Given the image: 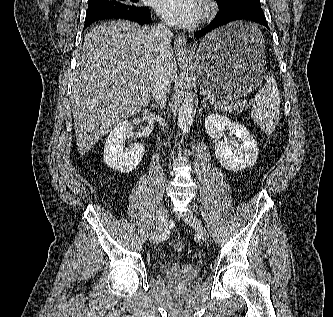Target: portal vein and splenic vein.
Wrapping results in <instances>:
<instances>
[{
    "label": "portal vein and splenic vein",
    "instance_id": "18ae733b",
    "mask_svg": "<svg viewBox=\"0 0 333 317\" xmlns=\"http://www.w3.org/2000/svg\"><path fill=\"white\" fill-rule=\"evenodd\" d=\"M238 103L241 104V105H245L247 102L245 100H241Z\"/></svg>",
    "mask_w": 333,
    "mask_h": 317
}]
</instances>
